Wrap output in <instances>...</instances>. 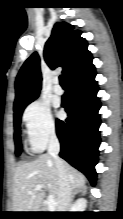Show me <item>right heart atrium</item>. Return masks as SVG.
<instances>
[{"label":"right heart atrium","mask_w":123,"mask_h":219,"mask_svg":"<svg viewBox=\"0 0 123 219\" xmlns=\"http://www.w3.org/2000/svg\"><path fill=\"white\" fill-rule=\"evenodd\" d=\"M22 119L30 148L42 151L56 134L50 107L42 101H34L26 107Z\"/></svg>","instance_id":"right-heart-atrium-1"}]
</instances>
